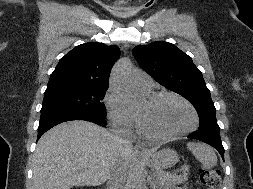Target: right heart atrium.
Masks as SVG:
<instances>
[{"label":"right heart atrium","mask_w":253,"mask_h":189,"mask_svg":"<svg viewBox=\"0 0 253 189\" xmlns=\"http://www.w3.org/2000/svg\"><path fill=\"white\" fill-rule=\"evenodd\" d=\"M104 102L108 117L114 127L126 131L133 127L135 116L126 107L118 93L111 89L108 90Z\"/></svg>","instance_id":"d8ad5b80"}]
</instances>
